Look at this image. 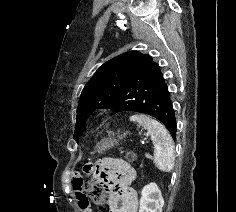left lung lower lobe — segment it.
I'll return each instance as SVG.
<instances>
[{
    "mask_svg": "<svg viewBox=\"0 0 236 212\" xmlns=\"http://www.w3.org/2000/svg\"><path fill=\"white\" fill-rule=\"evenodd\" d=\"M112 114L134 111L161 121L176 139V118L170 93L158 63L145 55L132 79L110 106Z\"/></svg>",
    "mask_w": 236,
    "mask_h": 212,
    "instance_id": "1",
    "label": "left lung lower lobe"
}]
</instances>
